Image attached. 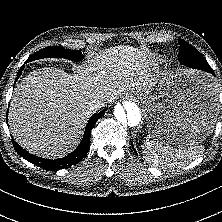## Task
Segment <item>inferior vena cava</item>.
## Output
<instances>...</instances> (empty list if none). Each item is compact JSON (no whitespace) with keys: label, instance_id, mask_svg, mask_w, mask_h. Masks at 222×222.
Listing matches in <instances>:
<instances>
[{"label":"inferior vena cava","instance_id":"obj_1","mask_svg":"<svg viewBox=\"0 0 222 222\" xmlns=\"http://www.w3.org/2000/svg\"><path fill=\"white\" fill-rule=\"evenodd\" d=\"M105 101L102 99H94L88 103L89 110L92 112L94 110L100 109L105 106Z\"/></svg>","mask_w":222,"mask_h":222}]
</instances>
